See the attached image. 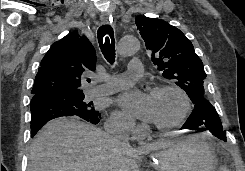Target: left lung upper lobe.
<instances>
[{
  "label": "left lung upper lobe",
  "instance_id": "5c2ea615",
  "mask_svg": "<svg viewBox=\"0 0 245 171\" xmlns=\"http://www.w3.org/2000/svg\"><path fill=\"white\" fill-rule=\"evenodd\" d=\"M135 23L162 75L174 80L193 103L206 98L203 63L183 32L158 18L137 16Z\"/></svg>",
  "mask_w": 245,
  "mask_h": 171
}]
</instances>
